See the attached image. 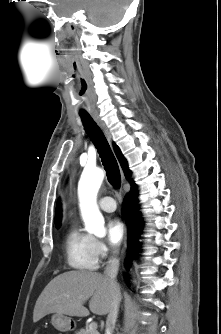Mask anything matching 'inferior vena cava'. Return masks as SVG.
Instances as JSON below:
<instances>
[{"label":"inferior vena cava","mask_w":221,"mask_h":334,"mask_svg":"<svg viewBox=\"0 0 221 334\" xmlns=\"http://www.w3.org/2000/svg\"><path fill=\"white\" fill-rule=\"evenodd\" d=\"M116 252L117 251L115 250L114 253ZM118 270H119V260L116 257L110 258L104 270V276L112 285V295H113L111 309L106 319V332L113 331L119 311V303L121 300V295L118 284L116 282V276L118 274Z\"/></svg>","instance_id":"inferior-vena-cava-1"}]
</instances>
